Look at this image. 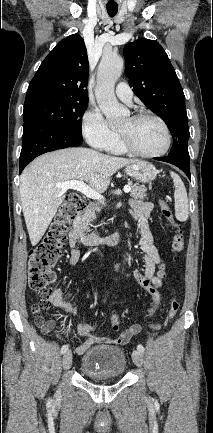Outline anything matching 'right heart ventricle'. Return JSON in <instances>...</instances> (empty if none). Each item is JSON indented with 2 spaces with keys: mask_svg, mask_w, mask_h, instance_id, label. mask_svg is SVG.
I'll return each instance as SVG.
<instances>
[{
  "mask_svg": "<svg viewBox=\"0 0 213 433\" xmlns=\"http://www.w3.org/2000/svg\"><path fill=\"white\" fill-rule=\"evenodd\" d=\"M107 150L114 154H124L126 151L123 149V147L120 144L118 135L116 134L115 139L111 143V145L107 148Z\"/></svg>",
  "mask_w": 213,
  "mask_h": 433,
  "instance_id": "e07e8e85",
  "label": "right heart ventricle"
}]
</instances>
